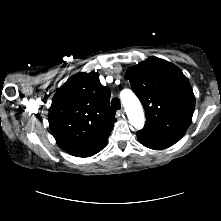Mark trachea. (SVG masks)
<instances>
[{"label": "trachea", "mask_w": 221, "mask_h": 221, "mask_svg": "<svg viewBox=\"0 0 221 221\" xmlns=\"http://www.w3.org/2000/svg\"><path fill=\"white\" fill-rule=\"evenodd\" d=\"M111 105L116 108V109H120L121 108V104H120V100L118 98H113L111 100Z\"/></svg>", "instance_id": "obj_1"}]
</instances>
